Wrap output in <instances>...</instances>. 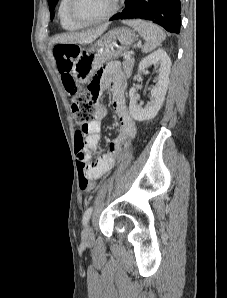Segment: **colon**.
<instances>
[{
  "mask_svg": "<svg viewBox=\"0 0 227 298\" xmlns=\"http://www.w3.org/2000/svg\"><path fill=\"white\" fill-rule=\"evenodd\" d=\"M79 52L80 47L72 43H60L54 47V57L61 73L63 85L72 99L71 111L75 122L80 126L75 135L76 154L80 165L86 167L88 165L84 154L86 130H82V125H89L92 122V118L96 117V110L95 103H90L89 100L91 92H88V89L81 90L71 75L74 61ZM79 185L83 191H92L95 188L94 182L83 169L79 173Z\"/></svg>",
  "mask_w": 227,
  "mask_h": 298,
  "instance_id": "5ec220e1",
  "label": "colon"
}]
</instances>
